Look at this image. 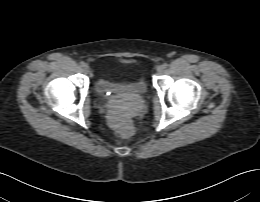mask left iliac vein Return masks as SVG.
<instances>
[{
  "instance_id": "4c4485c4",
  "label": "left iliac vein",
  "mask_w": 260,
  "mask_h": 202,
  "mask_svg": "<svg viewBox=\"0 0 260 202\" xmlns=\"http://www.w3.org/2000/svg\"><path fill=\"white\" fill-rule=\"evenodd\" d=\"M164 72V67L162 65L157 67V73L162 74Z\"/></svg>"
}]
</instances>
